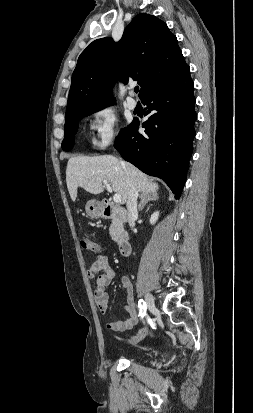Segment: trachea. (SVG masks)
Here are the masks:
<instances>
[{
	"label": "trachea",
	"mask_w": 253,
	"mask_h": 413,
	"mask_svg": "<svg viewBox=\"0 0 253 413\" xmlns=\"http://www.w3.org/2000/svg\"><path fill=\"white\" fill-rule=\"evenodd\" d=\"M134 91H135L136 93H138L139 87H135Z\"/></svg>",
	"instance_id": "3493384b"
}]
</instances>
